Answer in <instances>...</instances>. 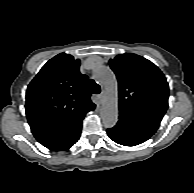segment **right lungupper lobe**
<instances>
[{"mask_svg":"<svg viewBox=\"0 0 194 193\" xmlns=\"http://www.w3.org/2000/svg\"><path fill=\"white\" fill-rule=\"evenodd\" d=\"M80 60L61 53L50 59L26 92V116L34 135L58 129L94 110Z\"/></svg>","mask_w":194,"mask_h":193,"instance_id":"obj_1","label":"right lung upper lobe"}]
</instances>
